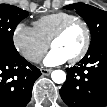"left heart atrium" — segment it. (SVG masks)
Masks as SVG:
<instances>
[{"label": "left heart atrium", "instance_id": "left-heart-atrium-1", "mask_svg": "<svg viewBox=\"0 0 107 107\" xmlns=\"http://www.w3.org/2000/svg\"><path fill=\"white\" fill-rule=\"evenodd\" d=\"M68 60L67 56L57 49H52L43 59L45 66H57L65 63Z\"/></svg>", "mask_w": 107, "mask_h": 107}]
</instances>
